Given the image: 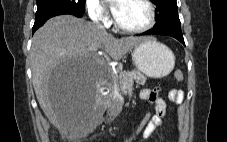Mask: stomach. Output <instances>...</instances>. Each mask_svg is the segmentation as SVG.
<instances>
[{
    "label": "stomach",
    "mask_w": 227,
    "mask_h": 142,
    "mask_svg": "<svg viewBox=\"0 0 227 142\" xmlns=\"http://www.w3.org/2000/svg\"><path fill=\"white\" fill-rule=\"evenodd\" d=\"M132 60L137 70L155 79L166 77L175 65L173 52L166 45L152 39L134 47ZM118 106L119 104L117 108Z\"/></svg>",
    "instance_id": "stomach-1"
}]
</instances>
